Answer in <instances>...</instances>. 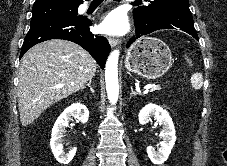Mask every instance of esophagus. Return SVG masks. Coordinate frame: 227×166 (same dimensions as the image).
Returning a JSON list of instances; mask_svg holds the SVG:
<instances>
[{"label":"esophagus","instance_id":"1","mask_svg":"<svg viewBox=\"0 0 227 166\" xmlns=\"http://www.w3.org/2000/svg\"><path fill=\"white\" fill-rule=\"evenodd\" d=\"M119 39L118 38H109V44L111 45V47H115L119 44Z\"/></svg>","mask_w":227,"mask_h":166}]
</instances>
